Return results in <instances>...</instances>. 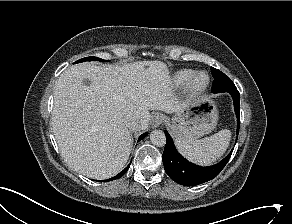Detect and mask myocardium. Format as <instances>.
<instances>
[{
	"mask_svg": "<svg viewBox=\"0 0 292 224\" xmlns=\"http://www.w3.org/2000/svg\"><path fill=\"white\" fill-rule=\"evenodd\" d=\"M202 77H205L204 81H200ZM209 83H210L209 74L206 72H198L188 82L187 87L191 94H199L209 86Z\"/></svg>",
	"mask_w": 292,
	"mask_h": 224,
	"instance_id": "obj_1",
	"label": "myocardium"
}]
</instances>
